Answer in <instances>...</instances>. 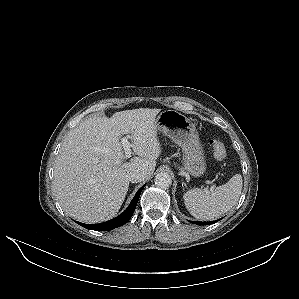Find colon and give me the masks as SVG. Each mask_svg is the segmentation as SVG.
I'll return each instance as SVG.
<instances>
[{"instance_id": "obj_1", "label": "colon", "mask_w": 299, "mask_h": 299, "mask_svg": "<svg viewBox=\"0 0 299 299\" xmlns=\"http://www.w3.org/2000/svg\"><path fill=\"white\" fill-rule=\"evenodd\" d=\"M211 146L213 149V154L215 158L219 161H223L226 159L227 153L224 144L218 140V139H213L211 141Z\"/></svg>"}]
</instances>
